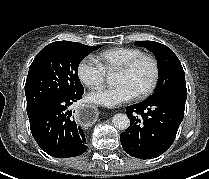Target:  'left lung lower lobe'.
Wrapping results in <instances>:
<instances>
[{"mask_svg":"<svg viewBox=\"0 0 209 179\" xmlns=\"http://www.w3.org/2000/svg\"><path fill=\"white\" fill-rule=\"evenodd\" d=\"M187 90H175L126 108L131 125L121 133L123 149L132 157L160 156L173 143L184 117Z\"/></svg>","mask_w":209,"mask_h":179,"instance_id":"1","label":"left lung lower lobe"}]
</instances>
